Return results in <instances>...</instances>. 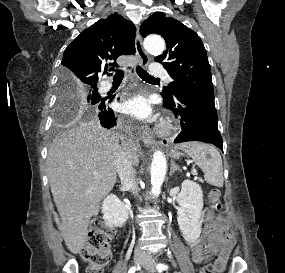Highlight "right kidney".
Segmentation results:
<instances>
[{
	"mask_svg": "<svg viewBox=\"0 0 285 273\" xmlns=\"http://www.w3.org/2000/svg\"><path fill=\"white\" fill-rule=\"evenodd\" d=\"M102 213L107 226L121 227L128 219L129 207L111 194L102 203Z\"/></svg>",
	"mask_w": 285,
	"mask_h": 273,
	"instance_id": "ca27d5eb",
	"label": "right kidney"
}]
</instances>
